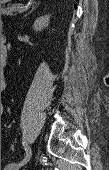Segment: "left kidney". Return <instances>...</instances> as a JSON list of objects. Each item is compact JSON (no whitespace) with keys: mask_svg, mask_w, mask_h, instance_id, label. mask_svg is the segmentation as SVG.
<instances>
[{"mask_svg":"<svg viewBox=\"0 0 109 170\" xmlns=\"http://www.w3.org/2000/svg\"><path fill=\"white\" fill-rule=\"evenodd\" d=\"M49 21H50L49 15L41 16L34 22L33 29L35 31H41L48 26Z\"/></svg>","mask_w":109,"mask_h":170,"instance_id":"1","label":"left kidney"}]
</instances>
